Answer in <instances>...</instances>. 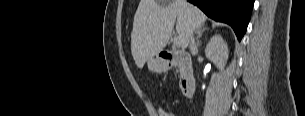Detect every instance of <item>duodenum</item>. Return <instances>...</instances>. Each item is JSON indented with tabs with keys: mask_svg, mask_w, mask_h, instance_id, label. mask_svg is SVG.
<instances>
[{
	"mask_svg": "<svg viewBox=\"0 0 305 116\" xmlns=\"http://www.w3.org/2000/svg\"><path fill=\"white\" fill-rule=\"evenodd\" d=\"M161 58L168 66L178 64L182 70L181 77V91L186 98L192 97L195 89V75L192 68L191 58L187 54L174 53L171 51H164Z\"/></svg>",
	"mask_w": 305,
	"mask_h": 116,
	"instance_id": "410a0bca",
	"label": "duodenum"
}]
</instances>
